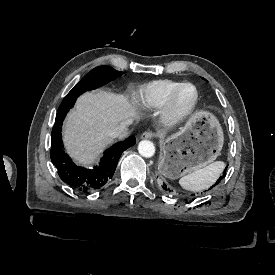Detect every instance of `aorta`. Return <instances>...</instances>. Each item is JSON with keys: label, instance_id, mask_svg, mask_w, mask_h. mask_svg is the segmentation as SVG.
<instances>
[{"label": "aorta", "instance_id": "1", "mask_svg": "<svg viewBox=\"0 0 275 275\" xmlns=\"http://www.w3.org/2000/svg\"><path fill=\"white\" fill-rule=\"evenodd\" d=\"M138 151L141 156L151 158L155 155V146L151 141L144 140L139 143Z\"/></svg>", "mask_w": 275, "mask_h": 275}]
</instances>
